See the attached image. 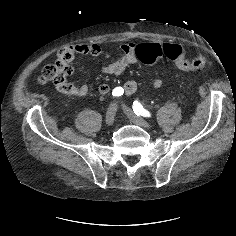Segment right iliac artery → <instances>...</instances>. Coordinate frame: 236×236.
I'll use <instances>...</instances> for the list:
<instances>
[{
    "mask_svg": "<svg viewBox=\"0 0 236 236\" xmlns=\"http://www.w3.org/2000/svg\"><path fill=\"white\" fill-rule=\"evenodd\" d=\"M123 93H124V89L122 87H116L112 91V95L113 96H118V97L123 95Z\"/></svg>",
    "mask_w": 236,
    "mask_h": 236,
    "instance_id": "obj_1",
    "label": "right iliac artery"
}]
</instances>
